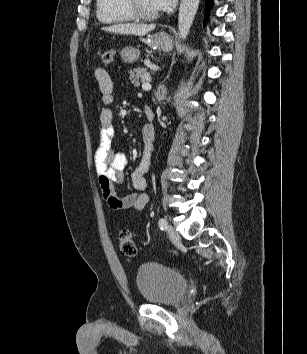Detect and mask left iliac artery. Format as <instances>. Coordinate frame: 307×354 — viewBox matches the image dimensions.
<instances>
[{"instance_id": "obj_1", "label": "left iliac artery", "mask_w": 307, "mask_h": 354, "mask_svg": "<svg viewBox=\"0 0 307 354\" xmlns=\"http://www.w3.org/2000/svg\"><path fill=\"white\" fill-rule=\"evenodd\" d=\"M159 227L161 230H165L167 228V221L164 218L159 219Z\"/></svg>"}]
</instances>
